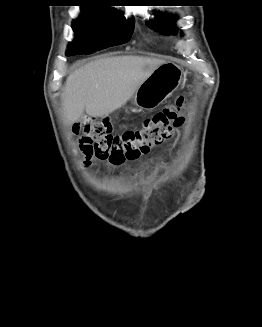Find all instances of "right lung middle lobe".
<instances>
[{"label": "right lung middle lobe", "instance_id": "1", "mask_svg": "<svg viewBox=\"0 0 262 327\" xmlns=\"http://www.w3.org/2000/svg\"><path fill=\"white\" fill-rule=\"evenodd\" d=\"M81 12V17L74 20L72 25L75 39L68 46L67 56L92 53L130 40L134 29L133 19H123L122 15L110 11Z\"/></svg>", "mask_w": 262, "mask_h": 327}]
</instances>
